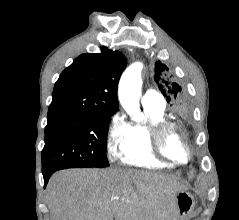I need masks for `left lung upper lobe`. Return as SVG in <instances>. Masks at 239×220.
<instances>
[{"instance_id": "1", "label": "left lung upper lobe", "mask_w": 239, "mask_h": 220, "mask_svg": "<svg viewBox=\"0 0 239 220\" xmlns=\"http://www.w3.org/2000/svg\"><path fill=\"white\" fill-rule=\"evenodd\" d=\"M168 67L158 61L155 64V82L162 94L166 97V101L170 104L175 114L181 118L188 120L191 117V106L183 90L179 84L173 82L167 76Z\"/></svg>"}]
</instances>
